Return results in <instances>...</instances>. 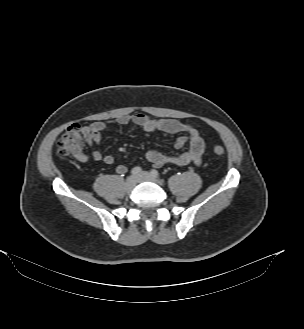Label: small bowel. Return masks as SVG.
Segmentation results:
<instances>
[{
    "mask_svg": "<svg viewBox=\"0 0 304 329\" xmlns=\"http://www.w3.org/2000/svg\"><path fill=\"white\" fill-rule=\"evenodd\" d=\"M118 126H125L133 123L147 132H164L169 134L185 133L176 139L175 146L177 149L183 148L189 144L188 150L178 154H165L156 150H148L146 159L156 167L163 165L185 166L190 163L200 164L206 152V146L199 131L190 124H185L174 119H158L145 113H135L132 115H122L113 121ZM110 122L97 121L83 126L82 131L85 139L91 148L90 155L81 153L77 159L81 162H87L91 157L95 161L111 165L114 163V157L104 155L97 147L101 142L102 133L108 128ZM119 174L126 172V167L119 165L116 168Z\"/></svg>",
    "mask_w": 304,
    "mask_h": 329,
    "instance_id": "obj_1",
    "label": "small bowel"
}]
</instances>
